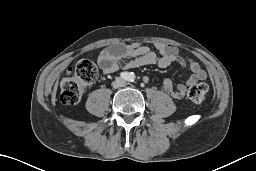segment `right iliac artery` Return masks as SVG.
I'll return each instance as SVG.
<instances>
[{"label":"right iliac artery","mask_w":256,"mask_h":171,"mask_svg":"<svg viewBox=\"0 0 256 171\" xmlns=\"http://www.w3.org/2000/svg\"><path fill=\"white\" fill-rule=\"evenodd\" d=\"M129 73L128 72H121L120 73V76L123 78V79H128L129 78Z\"/></svg>","instance_id":"right-iliac-artery-1"}]
</instances>
